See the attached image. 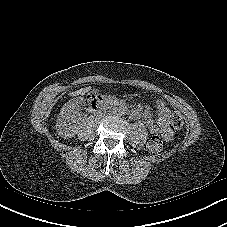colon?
<instances>
[{
	"label": "colon",
	"instance_id": "obj_1",
	"mask_svg": "<svg viewBox=\"0 0 227 227\" xmlns=\"http://www.w3.org/2000/svg\"><path fill=\"white\" fill-rule=\"evenodd\" d=\"M171 125L178 130L183 126V117L178 112H173L171 115ZM163 148V137L159 135L153 136L147 143L146 149L150 153H157Z\"/></svg>",
	"mask_w": 227,
	"mask_h": 227
}]
</instances>
